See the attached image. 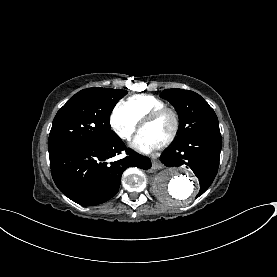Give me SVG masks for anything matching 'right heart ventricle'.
Returning <instances> with one entry per match:
<instances>
[{"label": "right heart ventricle", "mask_w": 277, "mask_h": 277, "mask_svg": "<svg viewBox=\"0 0 277 277\" xmlns=\"http://www.w3.org/2000/svg\"><path fill=\"white\" fill-rule=\"evenodd\" d=\"M161 99L147 94H136L126 99L122 107L129 112L138 122L152 109L165 107Z\"/></svg>", "instance_id": "1"}]
</instances>
